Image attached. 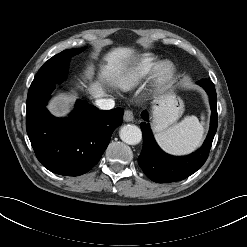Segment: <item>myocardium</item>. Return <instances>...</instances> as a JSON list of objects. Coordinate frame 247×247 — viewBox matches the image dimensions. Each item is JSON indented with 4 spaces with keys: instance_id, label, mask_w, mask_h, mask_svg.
Wrapping results in <instances>:
<instances>
[{
    "instance_id": "obj_1",
    "label": "myocardium",
    "mask_w": 247,
    "mask_h": 247,
    "mask_svg": "<svg viewBox=\"0 0 247 247\" xmlns=\"http://www.w3.org/2000/svg\"><path fill=\"white\" fill-rule=\"evenodd\" d=\"M176 73V67L170 60L158 63L152 73L151 81L153 86L161 88L169 83Z\"/></svg>"
}]
</instances>
